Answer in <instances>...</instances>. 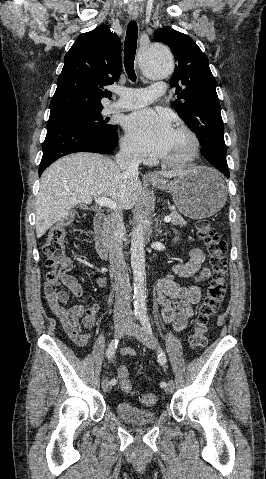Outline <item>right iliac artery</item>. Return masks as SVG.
I'll return each mask as SVG.
<instances>
[{"label": "right iliac artery", "instance_id": "82829eb1", "mask_svg": "<svg viewBox=\"0 0 266 479\" xmlns=\"http://www.w3.org/2000/svg\"><path fill=\"white\" fill-rule=\"evenodd\" d=\"M117 346H118V339H115V340H112L111 343L108 345V348H107V351H106V354H107V358L108 359H112L115 352H116V349H117ZM110 384L111 385H115L116 384V379H112L110 381Z\"/></svg>", "mask_w": 266, "mask_h": 479}]
</instances>
